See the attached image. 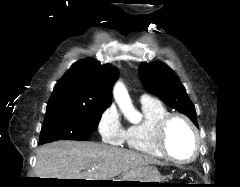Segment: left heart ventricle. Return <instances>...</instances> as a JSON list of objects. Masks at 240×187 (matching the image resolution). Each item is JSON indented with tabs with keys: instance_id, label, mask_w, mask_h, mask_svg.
<instances>
[{
	"instance_id": "b2bd125f",
	"label": "left heart ventricle",
	"mask_w": 240,
	"mask_h": 187,
	"mask_svg": "<svg viewBox=\"0 0 240 187\" xmlns=\"http://www.w3.org/2000/svg\"><path fill=\"white\" fill-rule=\"evenodd\" d=\"M167 147L180 160L190 158L194 152V139L189 127L181 120H174L167 132Z\"/></svg>"
}]
</instances>
